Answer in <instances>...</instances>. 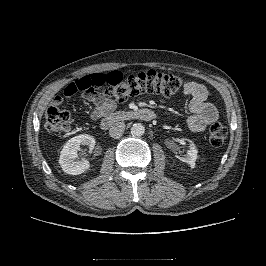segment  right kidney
Returning <instances> with one entry per match:
<instances>
[{
  "label": "right kidney",
  "instance_id": "right-kidney-1",
  "mask_svg": "<svg viewBox=\"0 0 266 266\" xmlns=\"http://www.w3.org/2000/svg\"><path fill=\"white\" fill-rule=\"evenodd\" d=\"M80 145H88L90 150L94 149L95 139L88 134H80L68 140L59 158V164L62 170L70 175H79L89 169L90 163L88 160H75Z\"/></svg>",
  "mask_w": 266,
  "mask_h": 266
}]
</instances>
